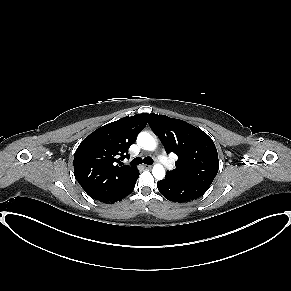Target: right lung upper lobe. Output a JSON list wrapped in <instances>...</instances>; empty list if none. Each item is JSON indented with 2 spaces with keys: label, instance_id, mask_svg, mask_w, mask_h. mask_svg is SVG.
<instances>
[{
  "label": "right lung upper lobe",
  "instance_id": "cb5924a9",
  "mask_svg": "<svg viewBox=\"0 0 291 291\" xmlns=\"http://www.w3.org/2000/svg\"><path fill=\"white\" fill-rule=\"evenodd\" d=\"M148 116H126L98 128L80 143L74 155V174L90 197L101 200L134 176L136 167L118 166L116 162L129 156L128 149L146 126Z\"/></svg>",
  "mask_w": 291,
  "mask_h": 291
}]
</instances>
